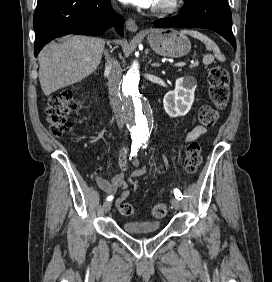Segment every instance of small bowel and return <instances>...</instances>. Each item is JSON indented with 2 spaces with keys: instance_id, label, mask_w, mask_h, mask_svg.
<instances>
[{
  "instance_id": "c3829d8e",
  "label": "small bowel",
  "mask_w": 272,
  "mask_h": 282,
  "mask_svg": "<svg viewBox=\"0 0 272 282\" xmlns=\"http://www.w3.org/2000/svg\"><path fill=\"white\" fill-rule=\"evenodd\" d=\"M206 132V126H197L193 128L186 136V142H192L198 137H200L203 133ZM132 163L137 168L132 172V178L129 179V185L132 190H136L139 187V183L136 180L137 177L144 175L147 172V168L145 166H140L139 161L132 156V153L129 152V149H123L119 155V165L125 170L127 168L128 163ZM132 179V181H130ZM95 182L107 194L113 195L116 193L119 187H122V192L120 196L115 200V204L119 207V205L129 197L131 194V189L124 183V174L118 173L106 180L99 176L95 177Z\"/></svg>"
}]
</instances>
